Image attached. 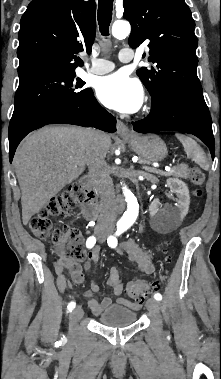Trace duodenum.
Returning <instances> with one entry per match:
<instances>
[{
	"label": "duodenum",
	"mask_w": 221,
	"mask_h": 379,
	"mask_svg": "<svg viewBox=\"0 0 221 379\" xmlns=\"http://www.w3.org/2000/svg\"><path fill=\"white\" fill-rule=\"evenodd\" d=\"M80 185L85 192V197L81 205L82 212L87 219L95 220L100 214V206L91 181L88 177H84L81 179ZM121 206L122 204L119 202L118 207Z\"/></svg>",
	"instance_id": "1"
}]
</instances>
